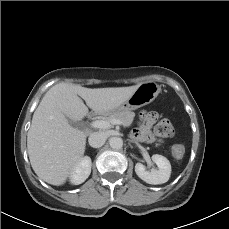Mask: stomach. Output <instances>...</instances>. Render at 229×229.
<instances>
[{"label":"stomach","instance_id":"obj_1","mask_svg":"<svg viewBox=\"0 0 229 229\" xmlns=\"http://www.w3.org/2000/svg\"><path fill=\"white\" fill-rule=\"evenodd\" d=\"M161 92V87L154 81L141 83L135 92L119 107L106 114L136 110L151 103Z\"/></svg>","mask_w":229,"mask_h":229}]
</instances>
